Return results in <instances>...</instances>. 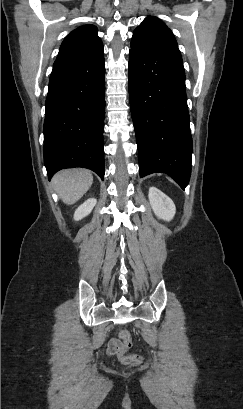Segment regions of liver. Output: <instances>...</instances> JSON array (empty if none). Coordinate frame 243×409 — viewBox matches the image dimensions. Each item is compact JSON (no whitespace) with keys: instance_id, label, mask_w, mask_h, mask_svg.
<instances>
[{"instance_id":"1","label":"liver","mask_w":243,"mask_h":409,"mask_svg":"<svg viewBox=\"0 0 243 409\" xmlns=\"http://www.w3.org/2000/svg\"><path fill=\"white\" fill-rule=\"evenodd\" d=\"M52 183L60 199L65 204L72 205L89 190L93 176L86 169H67L56 173Z\"/></svg>"}]
</instances>
